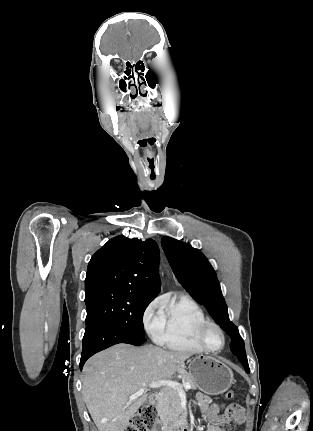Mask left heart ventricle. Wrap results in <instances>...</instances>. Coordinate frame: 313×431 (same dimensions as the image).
<instances>
[{"instance_id": "b2bd125f", "label": "left heart ventricle", "mask_w": 313, "mask_h": 431, "mask_svg": "<svg viewBox=\"0 0 313 431\" xmlns=\"http://www.w3.org/2000/svg\"><path fill=\"white\" fill-rule=\"evenodd\" d=\"M206 344L213 349L219 348L222 344L220 333L214 327H209L204 334Z\"/></svg>"}]
</instances>
